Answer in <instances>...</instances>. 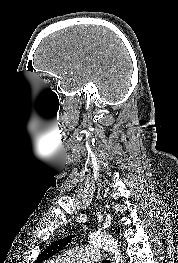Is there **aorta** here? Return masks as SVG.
Listing matches in <instances>:
<instances>
[{
    "label": "aorta",
    "mask_w": 178,
    "mask_h": 263,
    "mask_svg": "<svg viewBox=\"0 0 178 263\" xmlns=\"http://www.w3.org/2000/svg\"><path fill=\"white\" fill-rule=\"evenodd\" d=\"M89 241L93 245L110 252L113 255V263H124V258L118 249L117 242L111 235L102 232H93L89 236Z\"/></svg>",
    "instance_id": "aorta-1"
}]
</instances>
